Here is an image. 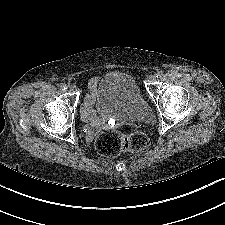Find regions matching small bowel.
Wrapping results in <instances>:
<instances>
[{"label": "small bowel", "instance_id": "c3829d8e", "mask_svg": "<svg viewBox=\"0 0 225 225\" xmlns=\"http://www.w3.org/2000/svg\"><path fill=\"white\" fill-rule=\"evenodd\" d=\"M98 82L97 78H93L90 80V88H91V93L87 94L85 96L84 102L81 106V117L83 118V120L88 121V122H92L94 115H93V105H94V89L95 86ZM93 133V130L90 129L89 130V137H91Z\"/></svg>", "mask_w": 225, "mask_h": 225}]
</instances>
